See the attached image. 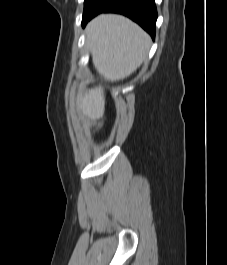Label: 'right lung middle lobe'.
<instances>
[{
  "label": "right lung middle lobe",
  "instance_id": "right-lung-middle-lobe-1",
  "mask_svg": "<svg viewBox=\"0 0 227 265\" xmlns=\"http://www.w3.org/2000/svg\"><path fill=\"white\" fill-rule=\"evenodd\" d=\"M104 1L105 0H85V2H84L83 20H85L89 16H91L101 6V4Z\"/></svg>",
  "mask_w": 227,
  "mask_h": 265
}]
</instances>
